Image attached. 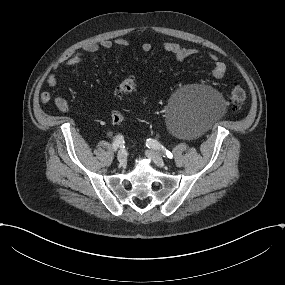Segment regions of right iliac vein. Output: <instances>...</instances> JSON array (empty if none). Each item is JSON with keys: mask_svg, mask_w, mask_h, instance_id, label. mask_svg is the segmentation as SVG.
Here are the masks:
<instances>
[{"mask_svg": "<svg viewBox=\"0 0 285 285\" xmlns=\"http://www.w3.org/2000/svg\"><path fill=\"white\" fill-rule=\"evenodd\" d=\"M117 159H118L119 163L123 164L124 162H126L127 156L125 153L119 152L117 155Z\"/></svg>", "mask_w": 285, "mask_h": 285, "instance_id": "63e3f726", "label": "right iliac vein"}]
</instances>
